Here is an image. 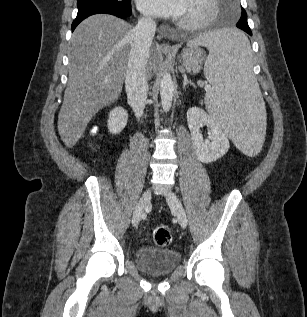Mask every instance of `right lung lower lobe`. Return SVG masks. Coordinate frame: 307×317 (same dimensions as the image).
Returning <instances> with one entry per match:
<instances>
[{"label": "right lung lower lobe", "mask_w": 307, "mask_h": 317, "mask_svg": "<svg viewBox=\"0 0 307 317\" xmlns=\"http://www.w3.org/2000/svg\"><path fill=\"white\" fill-rule=\"evenodd\" d=\"M95 14H111L119 18H127L131 16L132 14L131 3L121 8H115V7L102 5V4H90V5L79 7L77 17L71 26L72 31H74L76 26L85 18Z\"/></svg>", "instance_id": "1"}]
</instances>
